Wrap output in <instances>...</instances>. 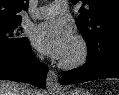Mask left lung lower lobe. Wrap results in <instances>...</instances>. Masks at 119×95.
I'll return each mask as SVG.
<instances>
[{
	"mask_svg": "<svg viewBox=\"0 0 119 95\" xmlns=\"http://www.w3.org/2000/svg\"><path fill=\"white\" fill-rule=\"evenodd\" d=\"M103 78H119V45L103 52L88 50L87 62L61 73V84H74Z\"/></svg>",
	"mask_w": 119,
	"mask_h": 95,
	"instance_id": "left-lung-lower-lobe-1",
	"label": "left lung lower lobe"
}]
</instances>
